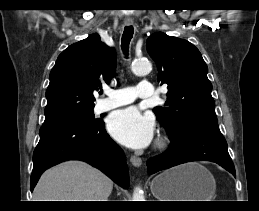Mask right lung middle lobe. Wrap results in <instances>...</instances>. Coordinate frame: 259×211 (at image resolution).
Masks as SVG:
<instances>
[{
  "label": "right lung middle lobe",
  "instance_id": "obj_1",
  "mask_svg": "<svg viewBox=\"0 0 259 211\" xmlns=\"http://www.w3.org/2000/svg\"><path fill=\"white\" fill-rule=\"evenodd\" d=\"M60 122H70V123H76V124H81V125H92V124H98L101 121L99 119L94 118V112H93V110H91L88 112H84L81 114L71 116Z\"/></svg>",
  "mask_w": 259,
  "mask_h": 211
}]
</instances>
